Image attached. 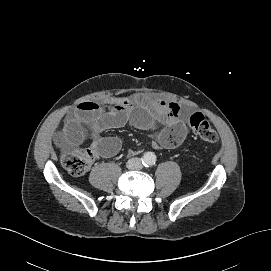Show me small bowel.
<instances>
[{
	"label": "small bowel",
	"mask_w": 271,
	"mask_h": 271,
	"mask_svg": "<svg viewBox=\"0 0 271 271\" xmlns=\"http://www.w3.org/2000/svg\"><path fill=\"white\" fill-rule=\"evenodd\" d=\"M128 121L139 129L161 125L157 144L164 148L179 146L187 136L178 104L138 93L129 98L112 97L104 103L85 101L78 104L64 121L55 141L59 147L67 149L90 139L91 149L97 156L112 157L119 152L121 142L117 137H104L102 134L120 128Z\"/></svg>",
	"instance_id": "c3829d8e"
}]
</instances>
